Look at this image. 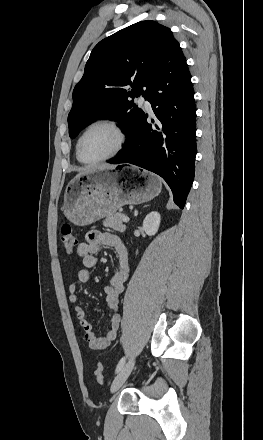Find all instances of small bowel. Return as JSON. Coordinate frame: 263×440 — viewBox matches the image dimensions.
I'll list each match as a JSON object with an SVG mask.
<instances>
[{
  "label": "small bowel",
  "mask_w": 263,
  "mask_h": 440,
  "mask_svg": "<svg viewBox=\"0 0 263 440\" xmlns=\"http://www.w3.org/2000/svg\"><path fill=\"white\" fill-rule=\"evenodd\" d=\"M101 247L113 248L116 253V261L109 283L105 288L106 304L114 312L111 318V327L104 335L98 336L95 333L93 322L88 318L86 310L79 303L78 283L89 282V270L96 266L97 259L95 255ZM76 254L81 258L84 268L78 272L77 279L69 284V301L74 304V311L84 330V338L89 347L94 350H102L115 340L121 323L118 308L120 295L129 274L127 247L123 239L115 234L92 230L86 233L85 241L78 244Z\"/></svg>",
  "instance_id": "small-bowel-1"
}]
</instances>
